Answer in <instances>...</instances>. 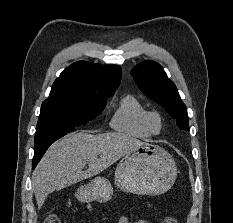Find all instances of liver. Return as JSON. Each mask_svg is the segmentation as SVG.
I'll return each instance as SVG.
<instances>
[{"label":"liver","mask_w":233,"mask_h":223,"mask_svg":"<svg viewBox=\"0 0 233 223\" xmlns=\"http://www.w3.org/2000/svg\"><path fill=\"white\" fill-rule=\"evenodd\" d=\"M143 143L136 137L115 131L97 135L85 131L67 133L49 147L32 173L31 183L38 209L48 193L98 175L130 149ZM86 163L88 169L83 171Z\"/></svg>","instance_id":"1"}]
</instances>
